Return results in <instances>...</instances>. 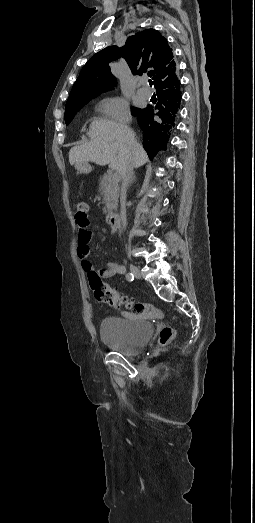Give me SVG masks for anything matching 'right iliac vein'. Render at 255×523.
<instances>
[{
    "mask_svg": "<svg viewBox=\"0 0 255 523\" xmlns=\"http://www.w3.org/2000/svg\"><path fill=\"white\" fill-rule=\"evenodd\" d=\"M130 271L136 278L141 277V272H140L139 268L137 266H135L134 264H130Z\"/></svg>",
    "mask_w": 255,
    "mask_h": 523,
    "instance_id": "right-iliac-vein-1",
    "label": "right iliac vein"
}]
</instances>
